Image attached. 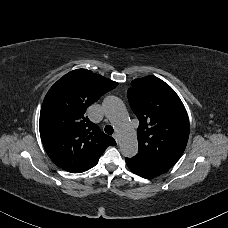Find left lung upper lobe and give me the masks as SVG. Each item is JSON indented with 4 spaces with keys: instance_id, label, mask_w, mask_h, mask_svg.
<instances>
[{
    "instance_id": "5c2ea615",
    "label": "left lung upper lobe",
    "mask_w": 228,
    "mask_h": 228,
    "mask_svg": "<svg viewBox=\"0 0 228 228\" xmlns=\"http://www.w3.org/2000/svg\"><path fill=\"white\" fill-rule=\"evenodd\" d=\"M131 85L128 100L140 122L136 157L170 168L188 141L186 109L175 91L157 77L135 79Z\"/></svg>"
}]
</instances>
